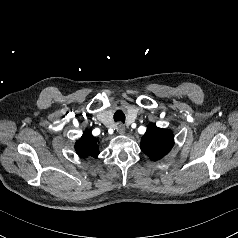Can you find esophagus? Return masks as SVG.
<instances>
[{"mask_svg": "<svg viewBox=\"0 0 238 238\" xmlns=\"http://www.w3.org/2000/svg\"><path fill=\"white\" fill-rule=\"evenodd\" d=\"M117 131L119 134H124L125 133V126L122 123L117 124Z\"/></svg>", "mask_w": 238, "mask_h": 238, "instance_id": "esophagus-1", "label": "esophagus"}]
</instances>
